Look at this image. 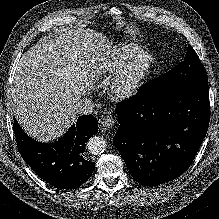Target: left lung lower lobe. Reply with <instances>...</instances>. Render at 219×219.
<instances>
[{
	"label": "left lung lower lobe",
	"mask_w": 219,
	"mask_h": 219,
	"mask_svg": "<svg viewBox=\"0 0 219 219\" xmlns=\"http://www.w3.org/2000/svg\"><path fill=\"white\" fill-rule=\"evenodd\" d=\"M113 143L136 182L157 186L193 162L210 120L208 83H187L157 95L141 90L116 106Z\"/></svg>",
	"instance_id": "1"
}]
</instances>
